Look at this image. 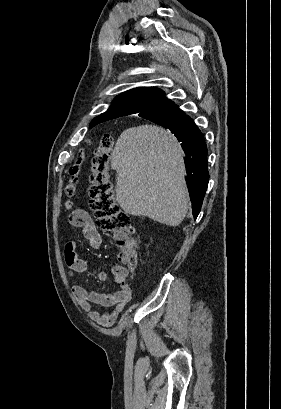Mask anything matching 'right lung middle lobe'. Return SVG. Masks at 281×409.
<instances>
[{
	"label": "right lung middle lobe",
	"instance_id": "right-lung-middle-lobe-1",
	"mask_svg": "<svg viewBox=\"0 0 281 409\" xmlns=\"http://www.w3.org/2000/svg\"><path fill=\"white\" fill-rule=\"evenodd\" d=\"M178 120H179L178 117H170V116H167V117H157V118L150 119V121H152V122H154V123H156V124H158V125H161V126H163V127H165V128H166L167 126H169V125H171V124L177 122Z\"/></svg>",
	"mask_w": 281,
	"mask_h": 409
}]
</instances>
